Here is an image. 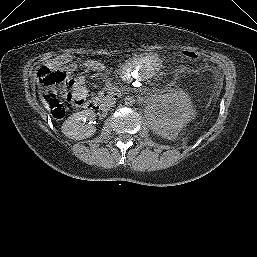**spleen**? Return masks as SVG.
Masks as SVG:
<instances>
[{
  "label": "spleen",
  "mask_w": 257,
  "mask_h": 257,
  "mask_svg": "<svg viewBox=\"0 0 257 257\" xmlns=\"http://www.w3.org/2000/svg\"><path fill=\"white\" fill-rule=\"evenodd\" d=\"M182 99H183L184 101L186 100L185 97H183V96H182ZM186 104H187V103H186Z\"/></svg>",
  "instance_id": "3e777b00"
}]
</instances>
